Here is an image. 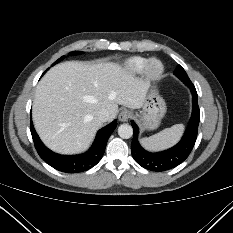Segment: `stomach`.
Masks as SVG:
<instances>
[{
  "instance_id": "stomach-1",
  "label": "stomach",
  "mask_w": 233,
  "mask_h": 233,
  "mask_svg": "<svg viewBox=\"0 0 233 233\" xmlns=\"http://www.w3.org/2000/svg\"><path fill=\"white\" fill-rule=\"evenodd\" d=\"M166 113V104L155 88L147 91L142 110L137 114L138 121L144 130H154Z\"/></svg>"
}]
</instances>
